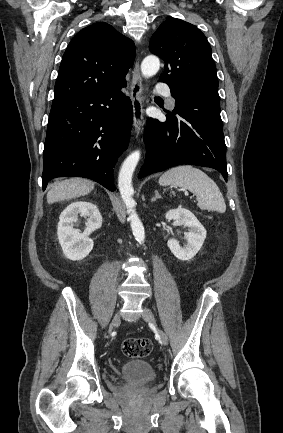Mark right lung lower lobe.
Here are the masks:
<instances>
[{"label": "right lung lower lobe", "instance_id": "1", "mask_svg": "<svg viewBox=\"0 0 283 433\" xmlns=\"http://www.w3.org/2000/svg\"><path fill=\"white\" fill-rule=\"evenodd\" d=\"M118 87L53 103L44 145L42 187L55 177L92 179L114 191L115 162L129 144L131 100Z\"/></svg>", "mask_w": 283, "mask_h": 433}]
</instances>
